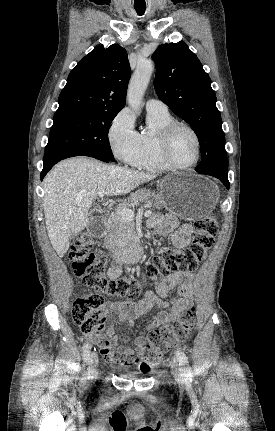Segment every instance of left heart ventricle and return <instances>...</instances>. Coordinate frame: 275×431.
Instances as JSON below:
<instances>
[{
	"mask_svg": "<svg viewBox=\"0 0 275 431\" xmlns=\"http://www.w3.org/2000/svg\"><path fill=\"white\" fill-rule=\"evenodd\" d=\"M171 156L173 160L181 165H187L196 157V143L192 134L180 128L173 136L171 143Z\"/></svg>",
	"mask_w": 275,
	"mask_h": 431,
	"instance_id": "left-heart-ventricle-1",
	"label": "left heart ventricle"
}]
</instances>
